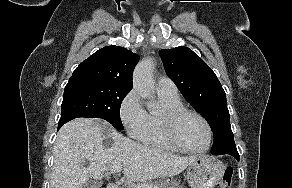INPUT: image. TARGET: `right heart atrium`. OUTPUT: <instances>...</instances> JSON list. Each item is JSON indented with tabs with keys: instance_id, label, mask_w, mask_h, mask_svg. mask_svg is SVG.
<instances>
[{
	"instance_id": "1",
	"label": "right heart atrium",
	"mask_w": 292,
	"mask_h": 188,
	"mask_svg": "<svg viewBox=\"0 0 292 188\" xmlns=\"http://www.w3.org/2000/svg\"><path fill=\"white\" fill-rule=\"evenodd\" d=\"M119 117L128 135L139 138L146 126L147 112L135 89L130 90L121 100Z\"/></svg>"
}]
</instances>
